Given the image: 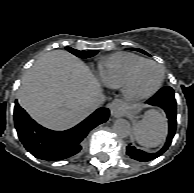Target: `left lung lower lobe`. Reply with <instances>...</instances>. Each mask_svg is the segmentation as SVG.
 Wrapping results in <instances>:
<instances>
[{"instance_id": "0a47b994", "label": "left lung lower lobe", "mask_w": 194, "mask_h": 193, "mask_svg": "<svg viewBox=\"0 0 194 193\" xmlns=\"http://www.w3.org/2000/svg\"><path fill=\"white\" fill-rule=\"evenodd\" d=\"M148 104L162 108L168 118L169 133L165 145L156 153H146L134 146H127L126 154L137 161L147 162L159 157L170 146L176 130V100L174 97V90L171 87H164L160 89L152 98L147 101Z\"/></svg>"}]
</instances>
